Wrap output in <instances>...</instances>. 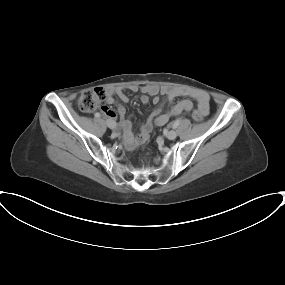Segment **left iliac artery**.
Wrapping results in <instances>:
<instances>
[{"instance_id": "obj_1", "label": "left iliac artery", "mask_w": 285, "mask_h": 285, "mask_svg": "<svg viewBox=\"0 0 285 285\" xmlns=\"http://www.w3.org/2000/svg\"><path fill=\"white\" fill-rule=\"evenodd\" d=\"M180 121H181V119H177V120L172 124V127H173L174 129H176V128L178 127V125L180 124Z\"/></svg>"}]
</instances>
